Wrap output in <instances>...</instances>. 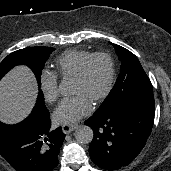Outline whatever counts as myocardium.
I'll return each instance as SVG.
<instances>
[{
    "instance_id": "myocardium-1",
    "label": "myocardium",
    "mask_w": 171,
    "mask_h": 171,
    "mask_svg": "<svg viewBox=\"0 0 171 171\" xmlns=\"http://www.w3.org/2000/svg\"><path fill=\"white\" fill-rule=\"evenodd\" d=\"M98 57H103L107 60L108 66H109V76H108V81H107L105 88L93 100L94 104H97V103L103 101L110 94V92L113 88L116 70H115V63H114V59H113L112 55L109 54L108 52H104V51L92 53L88 58H86L84 60V62L79 67L78 71L72 77L75 80H82L85 77L86 72H87L88 67L91 64V62Z\"/></svg>"
}]
</instances>
